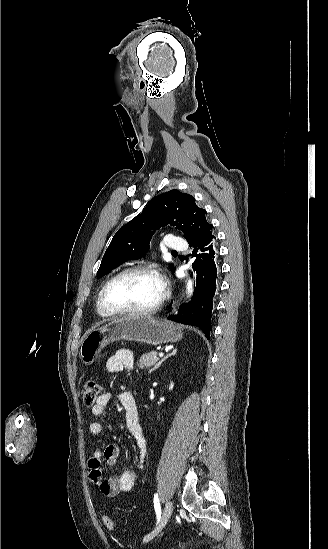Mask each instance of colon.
I'll use <instances>...</instances> for the list:
<instances>
[{
	"label": "colon",
	"instance_id": "5ec220e1",
	"mask_svg": "<svg viewBox=\"0 0 328 549\" xmlns=\"http://www.w3.org/2000/svg\"><path fill=\"white\" fill-rule=\"evenodd\" d=\"M101 392H102V387L98 382L94 380L87 381L83 388L84 404L88 407L93 406L98 400V398L100 397ZM103 523L107 530L109 531L115 530V523L111 518L104 517Z\"/></svg>",
	"mask_w": 328,
	"mask_h": 549
}]
</instances>
